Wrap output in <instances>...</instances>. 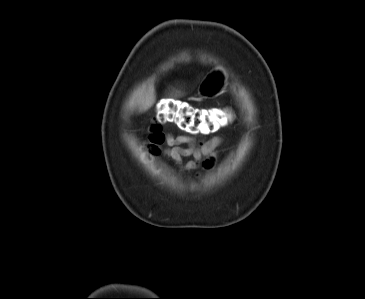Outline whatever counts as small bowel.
Here are the masks:
<instances>
[{
	"instance_id": "c3829d8e",
	"label": "small bowel",
	"mask_w": 365,
	"mask_h": 299,
	"mask_svg": "<svg viewBox=\"0 0 365 299\" xmlns=\"http://www.w3.org/2000/svg\"><path fill=\"white\" fill-rule=\"evenodd\" d=\"M165 142L168 148L164 154L171 158L184 170H194L200 164L205 166L211 165L210 156L215 149L220 146L223 139L219 136L212 138L208 142L196 141L195 138L188 135H172L165 136ZM185 145V146H183ZM184 157H192V160L183 163Z\"/></svg>"
}]
</instances>
